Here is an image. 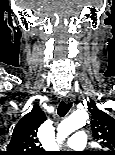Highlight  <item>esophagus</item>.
I'll return each mask as SVG.
<instances>
[{"instance_id": "esophagus-1", "label": "esophagus", "mask_w": 115, "mask_h": 155, "mask_svg": "<svg viewBox=\"0 0 115 155\" xmlns=\"http://www.w3.org/2000/svg\"><path fill=\"white\" fill-rule=\"evenodd\" d=\"M74 100V96L72 94H68L65 96L64 101L66 103H71Z\"/></svg>"}]
</instances>
